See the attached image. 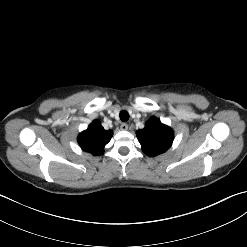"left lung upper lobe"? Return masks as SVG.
<instances>
[{
    "label": "left lung upper lobe",
    "mask_w": 247,
    "mask_h": 247,
    "mask_svg": "<svg viewBox=\"0 0 247 247\" xmlns=\"http://www.w3.org/2000/svg\"><path fill=\"white\" fill-rule=\"evenodd\" d=\"M142 150L148 156H156L168 150L173 142L174 133L171 128L152 117L145 124L144 129L136 132Z\"/></svg>",
    "instance_id": "obj_1"
}]
</instances>
